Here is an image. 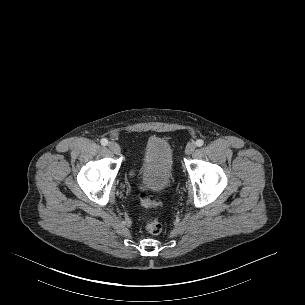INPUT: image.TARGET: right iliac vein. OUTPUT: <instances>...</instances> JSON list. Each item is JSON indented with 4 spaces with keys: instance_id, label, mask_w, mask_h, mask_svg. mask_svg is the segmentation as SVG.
I'll use <instances>...</instances> for the list:
<instances>
[{
    "instance_id": "63e3f726",
    "label": "right iliac vein",
    "mask_w": 305,
    "mask_h": 305,
    "mask_svg": "<svg viewBox=\"0 0 305 305\" xmlns=\"http://www.w3.org/2000/svg\"><path fill=\"white\" fill-rule=\"evenodd\" d=\"M108 148L114 154H120V146L116 142H109L108 143Z\"/></svg>"
}]
</instances>
